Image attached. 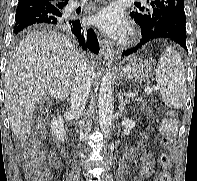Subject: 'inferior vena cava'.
<instances>
[{"mask_svg":"<svg viewBox=\"0 0 197 181\" xmlns=\"http://www.w3.org/2000/svg\"><path fill=\"white\" fill-rule=\"evenodd\" d=\"M94 65L87 60H81L70 88V114L74 118L82 116L90 93L91 76Z\"/></svg>","mask_w":197,"mask_h":181,"instance_id":"inferior-vena-cava-1","label":"inferior vena cava"}]
</instances>
